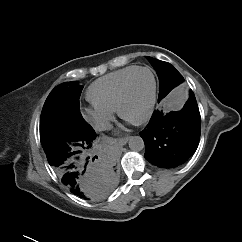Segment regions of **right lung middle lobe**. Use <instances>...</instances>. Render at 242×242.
<instances>
[{"mask_svg": "<svg viewBox=\"0 0 242 242\" xmlns=\"http://www.w3.org/2000/svg\"><path fill=\"white\" fill-rule=\"evenodd\" d=\"M82 89L78 81H72L58 85L47 97L40 118V140L44 151L55 143L92 130L80 113Z\"/></svg>", "mask_w": 242, "mask_h": 242, "instance_id": "dd1d6c3e", "label": "right lung middle lobe"}]
</instances>
